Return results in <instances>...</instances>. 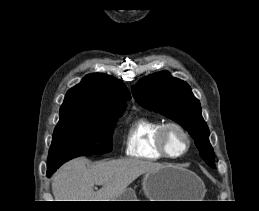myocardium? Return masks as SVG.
Masks as SVG:
<instances>
[{
  "instance_id": "myocardium-1",
  "label": "myocardium",
  "mask_w": 259,
  "mask_h": 211,
  "mask_svg": "<svg viewBox=\"0 0 259 211\" xmlns=\"http://www.w3.org/2000/svg\"><path fill=\"white\" fill-rule=\"evenodd\" d=\"M172 128L178 130L185 139V148L178 154L170 153L168 150V147H167V143H166L167 131ZM190 146H191L190 134L181 124L171 121V122L163 123L161 125V127L159 128V131L157 133V147H158L159 151L166 158L179 159V158L183 157L189 151Z\"/></svg>"
}]
</instances>
